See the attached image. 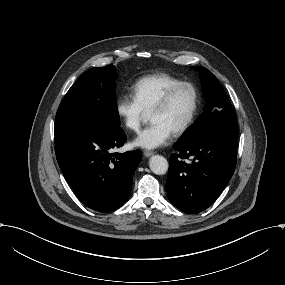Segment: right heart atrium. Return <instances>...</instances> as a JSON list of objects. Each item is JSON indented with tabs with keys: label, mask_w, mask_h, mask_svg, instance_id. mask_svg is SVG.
I'll list each match as a JSON object with an SVG mask.
<instances>
[{
	"label": "right heart atrium",
	"mask_w": 285,
	"mask_h": 285,
	"mask_svg": "<svg viewBox=\"0 0 285 285\" xmlns=\"http://www.w3.org/2000/svg\"><path fill=\"white\" fill-rule=\"evenodd\" d=\"M117 110L126 126L133 130L139 128L148 114L132 90L127 91L120 97Z\"/></svg>",
	"instance_id": "obj_1"
}]
</instances>
